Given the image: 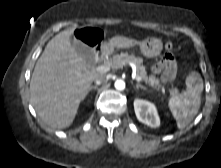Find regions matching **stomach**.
Instances as JSON below:
<instances>
[{
  "instance_id": "stomach-1",
  "label": "stomach",
  "mask_w": 221,
  "mask_h": 168,
  "mask_svg": "<svg viewBox=\"0 0 221 168\" xmlns=\"http://www.w3.org/2000/svg\"><path fill=\"white\" fill-rule=\"evenodd\" d=\"M141 53L147 58H153L160 55L163 49V43L158 38H147L139 43ZM105 48L108 51L110 50L109 45L107 44Z\"/></svg>"
}]
</instances>
